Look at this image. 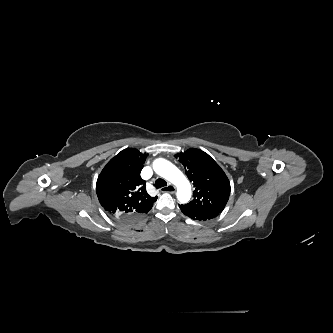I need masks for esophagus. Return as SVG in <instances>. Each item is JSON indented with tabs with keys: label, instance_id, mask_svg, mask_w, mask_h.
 <instances>
[{
	"label": "esophagus",
	"instance_id": "1",
	"mask_svg": "<svg viewBox=\"0 0 333 333\" xmlns=\"http://www.w3.org/2000/svg\"><path fill=\"white\" fill-rule=\"evenodd\" d=\"M163 190L166 192L174 193L176 188L174 185L169 184L168 186L164 187Z\"/></svg>",
	"mask_w": 333,
	"mask_h": 333
}]
</instances>
